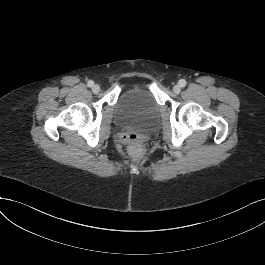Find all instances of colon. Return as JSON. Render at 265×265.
<instances>
[{"mask_svg":"<svg viewBox=\"0 0 265 265\" xmlns=\"http://www.w3.org/2000/svg\"><path fill=\"white\" fill-rule=\"evenodd\" d=\"M123 140L130 144L131 152L134 156L143 154L144 149L140 145L141 136L136 132H129L123 135Z\"/></svg>","mask_w":265,"mask_h":265,"instance_id":"colon-1","label":"colon"}]
</instances>
